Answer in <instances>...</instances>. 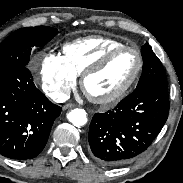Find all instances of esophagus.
<instances>
[{
  "instance_id": "34e87169",
  "label": "esophagus",
  "mask_w": 183,
  "mask_h": 183,
  "mask_svg": "<svg viewBox=\"0 0 183 183\" xmlns=\"http://www.w3.org/2000/svg\"><path fill=\"white\" fill-rule=\"evenodd\" d=\"M74 107H75L74 104L69 103V104H65L62 108H63V110H67V109L74 108Z\"/></svg>"
}]
</instances>
